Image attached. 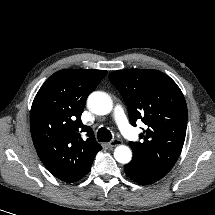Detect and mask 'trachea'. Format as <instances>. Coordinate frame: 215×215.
<instances>
[{"mask_svg":"<svg viewBox=\"0 0 215 215\" xmlns=\"http://www.w3.org/2000/svg\"><path fill=\"white\" fill-rule=\"evenodd\" d=\"M97 138L99 142H109L112 139V134L105 127H101L98 130Z\"/></svg>","mask_w":215,"mask_h":215,"instance_id":"3493384b","label":"trachea"}]
</instances>
